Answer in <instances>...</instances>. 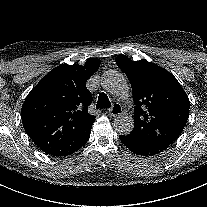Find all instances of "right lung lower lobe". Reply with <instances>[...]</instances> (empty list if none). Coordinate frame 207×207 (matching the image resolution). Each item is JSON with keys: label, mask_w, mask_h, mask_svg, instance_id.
<instances>
[{"label": "right lung lower lobe", "mask_w": 207, "mask_h": 207, "mask_svg": "<svg viewBox=\"0 0 207 207\" xmlns=\"http://www.w3.org/2000/svg\"><path fill=\"white\" fill-rule=\"evenodd\" d=\"M88 139H89V138H88ZM87 141H88V140H87ZM87 141H86V142H87ZM86 142H85V143H86ZM85 143H84L83 145H85ZM83 145H82V146H83ZM82 146H81V147H82ZM81 147H80V148H81ZM80 148H79V149H80Z\"/></svg>", "instance_id": "right-lung-lower-lobe-1"}]
</instances>
